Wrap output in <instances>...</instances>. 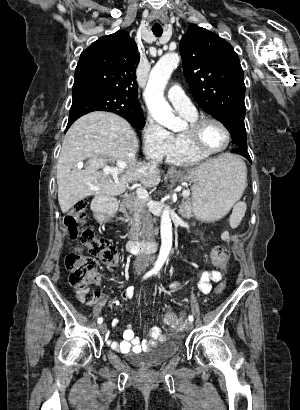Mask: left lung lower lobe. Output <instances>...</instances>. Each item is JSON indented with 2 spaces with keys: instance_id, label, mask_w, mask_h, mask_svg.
<instances>
[{
  "instance_id": "1",
  "label": "left lung lower lobe",
  "mask_w": 300,
  "mask_h": 410,
  "mask_svg": "<svg viewBox=\"0 0 300 410\" xmlns=\"http://www.w3.org/2000/svg\"><path fill=\"white\" fill-rule=\"evenodd\" d=\"M231 152L237 153V154H240V155L244 156V157L247 158V159L250 161V163H251L250 156H249V154H248V152H247L246 149L236 148V149L232 150Z\"/></svg>"
}]
</instances>
